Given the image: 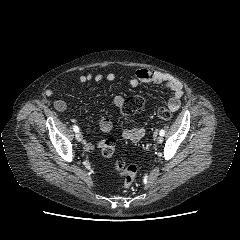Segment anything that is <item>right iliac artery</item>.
I'll use <instances>...</instances> for the list:
<instances>
[{"label":"right iliac artery","mask_w":240,"mask_h":240,"mask_svg":"<svg viewBox=\"0 0 240 240\" xmlns=\"http://www.w3.org/2000/svg\"><path fill=\"white\" fill-rule=\"evenodd\" d=\"M73 130H74L75 132H79L78 126L74 125V126H73Z\"/></svg>","instance_id":"82829eb1"}]
</instances>
